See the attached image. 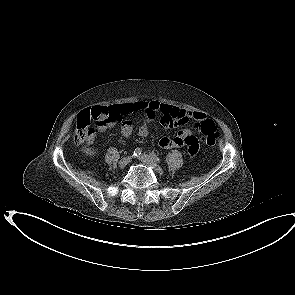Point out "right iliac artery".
Returning <instances> with one entry per match:
<instances>
[{
    "instance_id": "obj_1",
    "label": "right iliac artery",
    "mask_w": 295,
    "mask_h": 295,
    "mask_svg": "<svg viewBox=\"0 0 295 295\" xmlns=\"http://www.w3.org/2000/svg\"><path fill=\"white\" fill-rule=\"evenodd\" d=\"M141 153H142L141 148H136L133 152V156H139L141 155Z\"/></svg>"
}]
</instances>
